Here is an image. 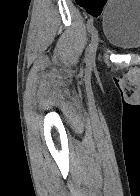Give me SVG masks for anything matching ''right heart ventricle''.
Here are the masks:
<instances>
[{"instance_id": "obj_1", "label": "right heart ventricle", "mask_w": 140, "mask_h": 196, "mask_svg": "<svg viewBox=\"0 0 140 196\" xmlns=\"http://www.w3.org/2000/svg\"><path fill=\"white\" fill-rule=\"evenodd\" d=\"M59 192H64V191H59ZM83 192H106V191H83Z\"/></svg>"}]
</instances>
